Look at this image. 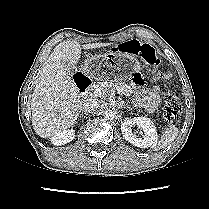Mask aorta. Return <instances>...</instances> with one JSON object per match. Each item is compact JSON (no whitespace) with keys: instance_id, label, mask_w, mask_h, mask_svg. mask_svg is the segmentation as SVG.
Wrapping results in <instances>:
<instances>
[{"instance_id":"obj_1","label":"aorta","mask_w":209,"mask_h":209,"mask_svg":"<svg viewBox=\"0 0 209 209\" xmlns=\"http://www.w3.org/2000/svg\"><path fill=\"white\" fill-rule=\"evenodd\" d=\"M102 114L106 120H113L117 117L118 111L115 107L106 106L104 107Z\"/></svg>"}]
</instances>
